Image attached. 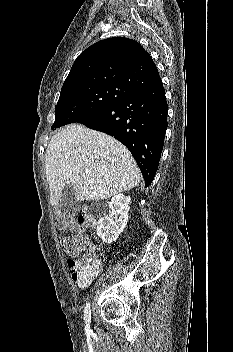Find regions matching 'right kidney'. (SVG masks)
<instances>
[{"instance_id":"1","label":"right kidney","mask_w":233,"mask_h":352,"mask_svg":"<svg viewBox=\"0 0 233 352\" xmlns=\"http://www.w3.org/2000/svg\"><path fill=\"white\" fill-rule=\"evenodd\" d=\"M130 201V196L119 193L108 203L109 210L104 212L97 225V235L103 242H114L126 227Z\"/></svg>"}]
</instances>
